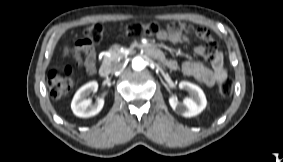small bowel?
Returning <instances> with one entry per match:
<instances>
[{"instance_id": "small-bowel-1", "label": "small bowel", "mask_w": 283, "mask_h": 162, "mask_svg": "<svg viewBox=\"0 0 283 162\" xmlns=\"http://www.w3.org/2000/svg\"><path fill=\"white\" fill-rule=\"evenodd\" d=\"M190 32L202 39L206 40V46L197 45L194 48V53L199 57H208L211 60V66H206L199 61H187L182 65L184 75L193 77L208 87H212L227 79V71L224 67L223 55L217 51V43L209 35L205 28H197L193 30L191 27L183 23H172L164 30H161L157 37L160 40L170 41L174 44L192 43L189 35ZM74 59L78 66L84 67L90 75L96 72V52L94 46L80 39L74 46ZM162 62L169 69H176L177 62L173 59L164 57Z\"/></svg>"}]
</instances>
